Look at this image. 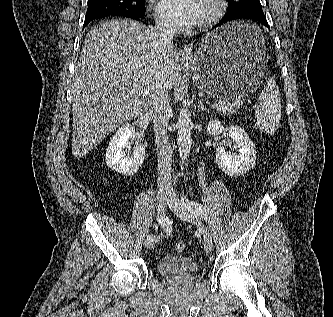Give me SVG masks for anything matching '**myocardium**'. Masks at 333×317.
I'll return each instance as SVG.
<instances>
[{
	"instance_id": "obj_1",
	"label": "myocardium",
	"mask_w": 333,
	"mask_h": 317,
	"mask_svg": "<svg viewBox=\"0 0 333 317\" xmlns=\"http://www.w3.org/2000/svg\"><path fill=\"white\" fill-rule=\"evenodd\" d=\"M208 5V12L206 16L198 23V28L205 30L217 23L226 11L225 0H205Z\"/></svg>"
}]
</instances>
